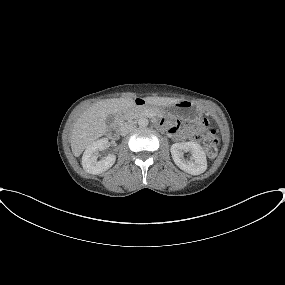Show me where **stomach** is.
Masks as SVG:
<instances>
[{
    "instance_id": "obj_1",
    "label": "stomach",
    "mask_w": 285,
    "mask_h": 285,
    "mask_svg": "<svg viewBox=\"0 0 285 285\" xmlns=\"http://www.w3.org/2000/svg\"><path fill=\"white\" fill-rule=\"evenodd\" d=\"M168 115L194 121L202 116L203 110L190 100H181L167 107H161Z\"/></svg>"
}]
</instances>
